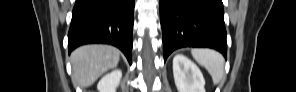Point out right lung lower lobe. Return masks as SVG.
<instances>
[{
    "instance_id": "right-lung-lower-lobe-1",
    "label": "right lung lower lobe",
    "mask_w": 296,
    "mask_h": 92,
    "mask_svg": "<svg viewBox=\"0 0 296 92\" xmlns=\"http://www.w3.org/2000/svg\"><path fill=\"white\" fill-rule=\"evenodd\" d=\"M134 0H76L68 33L69 51L88 43L118 47L131 64Z\"/></svg>"
}]
</instances>
